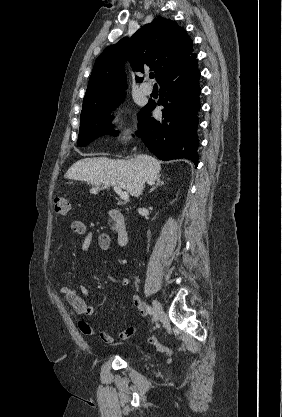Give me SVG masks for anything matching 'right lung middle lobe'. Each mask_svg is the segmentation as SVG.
Listing matches in <instances>:
<instances>
[{
    "instance_id": "dd1d6c3e",
    "label": "right lung middle lobe",
    "mask_w": 282,
    "mask_h": 417,
    "mask_svg": "<svg viewBox=\"0 0 282 417\" xmlns=\"http://www.w3.org/2000/svg\"><path fill=\"white\" fill-rule=\"evenodd\" d=\"M124 97L125 92H112L86 97L83 100L78 146H86L102 135H118V131L113 129L110 113Z\"/></svg>"
}]
</instances>
